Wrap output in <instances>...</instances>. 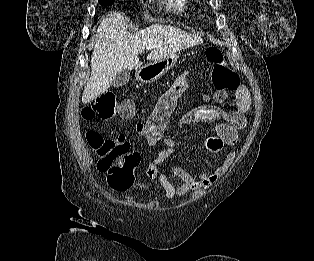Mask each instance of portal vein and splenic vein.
I'll return each instance as SVG.
<instances>
[{"mask_svg": "<svg viewBox=\"0 0 314 261\" xmlns=\"http://www.w3.org/2000/svg\"><path fill=\"white\" fill-rule=\"evenodd\" d=\"M143 49H145V48H143ZM146 49L148 50V49H150L149 47H146Z\"/></svg>", "mask_w": 314, "mask_h": 261, "instance_id": "portal-vein-and-splenic-vein-1", "label": "portal vein and splenic vein"}]
</instances>
